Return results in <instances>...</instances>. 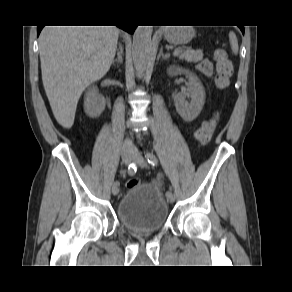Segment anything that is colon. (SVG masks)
<instances>
[{
    "label": "colon",
    "instance_id": "colon-1",
    "mask_svg": "<svg viewBox=\"0 0 292 292\" xmlns=\"http://www.w3.org/2000/svg\"><path fill=\"white\" fill-rule=\"evenodd\" d=\"M213 57L216 62V77L215 84L219 90H225L230 85V77L233 72V66L229 60L227 52L222 48H217L213 52ZM220 116L218 113H214L213 116L202 123L197 129L195 136L200 145H206L219 122ZM140 184L138 179H131L127 182L128 188H133Z\"/></svg>",
    "mask_w": 292,
    "mask_h": 292
}]
</instances>
